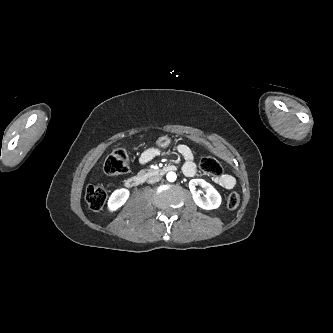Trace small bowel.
I'll return each mask as SVG.
<instances>
[{
	"instance_id": "obj_1",
	"label": "small bowel",
	"mask_w": 333,
	"mask_h": 333,
	"mask_svg": "<svg viewBox=\"0 0 333 333\" xmlns=\"http://www.w3.org/2000/svg\"><path fill=\"white\" fill-rule=\"evenodd\" d=\"M178 153L184 159L183 172L186 176L192 177L196 174V164L193 151L190 147L180 144L176 147ZM160 151L157 148H149L142 152L139 158V163L145 165L159 155ZM213 182L223 189H232L235 186V179L229 174H220L212 178Z\"/></svg>"
}]
</instances>
